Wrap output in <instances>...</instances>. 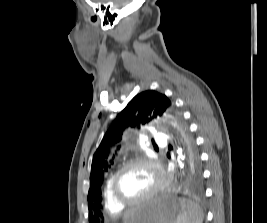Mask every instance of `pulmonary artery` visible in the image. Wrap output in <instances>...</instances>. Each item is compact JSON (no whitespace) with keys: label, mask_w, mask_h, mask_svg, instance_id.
Returning a JSON list of instances; mask_svg holds the SVG:
<instances>
[{"label":"pulmonary artery","mask_w":267,"mask_h":223,"mask_svg":"<svg viewBox=\"0 0 267 223\" xmlns=\"http://www.w3.org/2000/svg\"><path fill=\"white\" fill-rule=\"evenodd\" d=\"M156 142L160 146H163V144H164V141L162 139H160V138H156Z\"/></svg>","instance_id":"e3ab8cb5"}]
</instances>
